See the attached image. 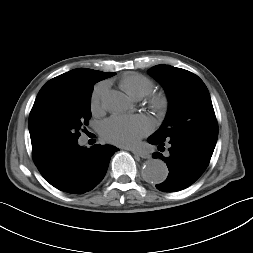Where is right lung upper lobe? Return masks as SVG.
Returning a JSON list of instances; mask_svg holds the SVG:
<instances>
[{"mask_svg": "<svg viewBox=\"0 0 253 253\" xmlns=\"http://www.w3.org/2000/svg\"><path fill=\"white\" fill-rule=\"evenodd\" d=\"M113 75H115L114 72L105 73L87 68H78L51 79L44 86L58 83H97ZM32 148L34 162L37 167L44 165L54 155L36 145H32Z\"/></svg>", "mask_w": 253, "mask_h": 253, "instance_id": "1", "label": "right lung upper lobe"}]
</instances>
